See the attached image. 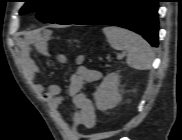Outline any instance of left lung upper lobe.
Returning <instances> with one entry per match:
<instances>
[{
	"mask_svg": "<svg viewBox=\"0 0 182 140\" xmlns=\"http://www.w3.org/2000/svg\"><path fill=\"white\" fill-rule=\"evenodd\" d=\"M101 0H25L20 14L39 12L43 22L71 24L90 12Z\"/></svg>",
	"mask_w": 182,
	"mask_h": 140,
	"instance_id": "obj_1",
	"label": "left lung upper lobe"
}]
</instances>
